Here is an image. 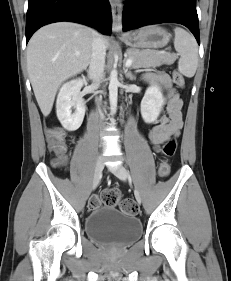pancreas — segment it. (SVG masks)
Instances as JSON below:
<instances>
[{
	"label": "pancreas",
	"instance_id": "1",
	"mask_svg": "<svg viewBox=\"0 0 231 281\" xmlns=\"http://www.w3.org/2000/svg\"><path fill=\"white\" fill-rule=\"evenodd\" d=\"M127 59H132V68H151L159 67L163 64H173L176 56L166 52L154 50H139L135 48L127 49Z\"/></svg>",
	"mask_w": 231,
	"mask_h": 281
}]
</instances>
